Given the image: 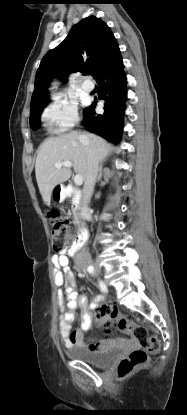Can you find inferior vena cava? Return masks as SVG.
<instances>
[{
	"label": "inferior vena cava",
	"mask_w": 187,
	"mask_h": 415,
	"mask_svg": "<svg viewBox=\"0 0 187 415\" xmlns=\"http://www.w3.org/2000/svg\"><path fill=\"white\" fill-rule=\"evenodd\" d=\"M80 140L86 147L87 151V173L81 200V216L86 217L88 213V204L93 194L94 186L98 175L99 160L88 138L86 136H81Z\"/></svg>",
	"instance_id": "inferior-vena-cava-1"
}]
</instances>
